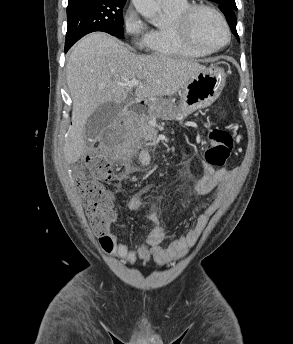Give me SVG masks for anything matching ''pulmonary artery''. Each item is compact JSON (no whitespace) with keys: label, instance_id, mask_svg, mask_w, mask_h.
<instances>
[{"label":"pulmonary artery","instance_id":"1","mask_svg":"<svg viewBox=\"0 0 293 344\" xmlns=\"http://www.w3.org/2000/svg\"><path fill=\"white\" fill-rule=\"evenodd\" d=\"M163 4H170V3H173L177 0H160Z\"/></svg>","mask_w":293,"mask_h":344}]
</instances>
